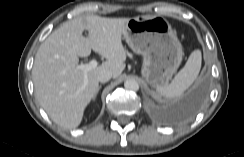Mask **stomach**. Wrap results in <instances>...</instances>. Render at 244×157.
<instances>
[{"mask_svg": "<svg viewBox=\"0 0 244 157\" xmlns=\"http://www.w3.org/2000/svg\"><path fill=\"white\" fill-rule=\"evenodd\" d=\"M123 36L143 56L142 75L154 88L167 85L183 59V48L169 22L157 15L129 19Z\"/></svg>", "mask_w": 244, "mask_h": 157, "instance_id": "0dacf381", "label": "stomach"}]
</instances>
